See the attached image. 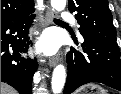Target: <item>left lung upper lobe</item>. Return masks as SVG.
I'll return each instance as SVG.
<instances>
[{"label": "left lung upper lobe", "instance_id": "left-lung-upper-lobe-1", "mask_svg": "<svg viewBox=\"0 0 121 94\" xmlns=\"http://www.w3.org/2000/svg\"><path fill=\"white\" fill-rule=\"evenodd\" d=\"M68 10L76 12L75 18L82 36L116 41L108 0H68Z\"/></svg>", "mask_w": 121, "mask_h": 94}]
</instances>
